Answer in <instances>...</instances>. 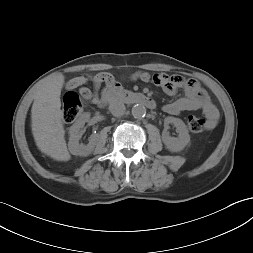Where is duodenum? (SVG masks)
Listing matches in <instances>:
<instances>
[{
    "label": "duodenum",
    "instance_id": "410a0bca",
    "mask_svg": "<svg viewBox=\"0 0 253 253\" xmlns=\"http://www.w3.org/2000/svg\"><path fill=\"white\" fill-rule=\"evenodd\" d=\"M114 101H121L126 104H140L149 109L156 107V102L151 97L142 93L124 90L119 84L111 83L104 89L99 107H104Z\"/></svg>",
    "mask_w": 253,
    "mask_h": 253
}]
</instances>
